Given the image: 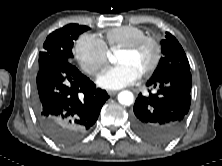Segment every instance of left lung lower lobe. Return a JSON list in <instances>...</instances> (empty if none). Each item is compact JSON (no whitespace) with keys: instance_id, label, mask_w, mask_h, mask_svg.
Masks as SVG:
<instances>
[{"instance_id":"0a47b994","label":"left lung lower lobe","mask_w":222,"mask_h":166,"mask_svg":"<svg viewBox=\"0 0 222 166\" xmlns=\"http://www.w3.org/2000/svg\"><path fill=\"white\" fill-rule=\"evenodd\" d=\"M146 85L157 91L137 97L131 119L133 129L151 143H168L181 132L190 108L191 72L151 77Z\"/></svg>"}]
</instances>
